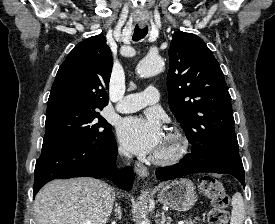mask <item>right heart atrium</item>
<instances>
[{
  "mask_svg": "<svg viewBox=\"0 0 275 224\" xmlns=\"http://www.w3.org/2000/svg\"><path fill=\"white\" fill-rule=\"evenodd\" d=\"M120 152H121V153H124V151H123L122 149H120Z\"/></svg>",
  "mask_w": 275,
  "mask_h": 224,
  "instance_id": "obj_1",
  "label": "right heart atrium"
}]
</instances>
